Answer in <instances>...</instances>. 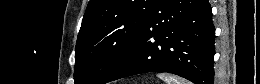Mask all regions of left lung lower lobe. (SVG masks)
<instances>
[{
    "label": "left lung lower lobe",
    "instance_id": "1",
    "mask_svg": "<svg viewBox=\"0 0 260 84\" xmlns=\"http://www.w3.org/2000/svg\"><path fill=\"white\" fill-rule=\"evenodd\" d=\"M215 28L208 0H156L111 82L146 72H169L213 84Z\"/></svg>",
    "mask_w": 260,
    "mask_h": 84
}]
</instances>
